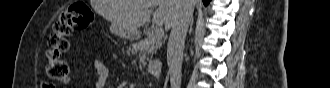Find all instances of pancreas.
Wrapping results in <instances>:
<instances>
[{"label": "pancreas", "instance_id": "1", "mask_svg": "<svg viewBox=\"0 0 330 88\" xmlns=\"http://www.w3.org/2000/svg\"><path fill=\"white\" fill-rule=\"evenodd\" d=\"M161 45V40L155 38L153 35H149L145 40L132 45L130 51L133 54L139 53L140 62L143 63L146 58L148 59V56L152 57Z\"/></svg>", "mask_w": 330, "mask_h": 88}]
</instances>
